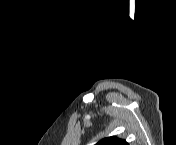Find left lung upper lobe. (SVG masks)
I'll return each instance as SVG.
<instances>
[{"label": "left lung upper lobe", "instance_id": "left-lung-upper-lobe-1", "mask_svg": "<svg viewBox=\"0 0 176 145\" xmlns=\"http://www.w3.org/2000/svg\"><path fill=\"white\" fill-rule=\"evenodd\" d=\"M96 145H128V143L125 140L112 136L100 140Z\"/></svg>", "mask_w": 176, "mask_h": 145}]
</instances>
